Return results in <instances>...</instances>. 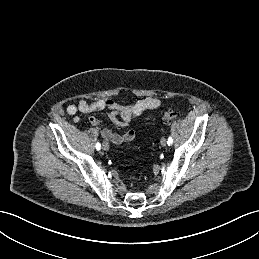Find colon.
Instances as JSON below:
<instances>
[{
    "mask_svg": "<svg viewBox=\"0 0 259 259\" xmlns=\"http://www.w3.org/2000/svg\"><path fill=\"white\" fill-rule=\"evenodd\" d=\"M178 117V113L174 110H169L160 115V121L162 123H169L170 121L176 119Z\"/></svg>",
    "mask_w": 259,
    "mask_h": 259,
    "instance_id": "1",
    "label": "colon"
}]
</instances>
